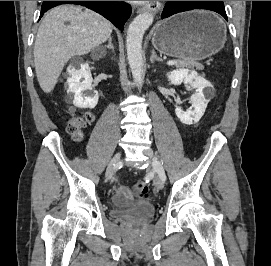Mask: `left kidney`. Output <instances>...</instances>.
Returning <instances> with one entry per match:
<instances>
[{
    "label": "left kidney",
    "mask_w": 271,
    "mask_h": 266,
    "mask_svg": "<svg viewBox=\"0 0 271 266\" xmlns=\"http://www.w3.org/2000/svg\"><path fill=\"white\" fill-rule=\"evenodd\" d=\"M167 76L173 85H180L183 82L195 89V93L190 99L191 107L186 111L177 107L175 113L184 124L191 125L197 123L204 115L207 104L210 101V96L206 97L203 90L210 92L213 90V86L203 77L198 76L197 72L189 71L188 69L174 70Z\"/></svg>",
    "instance_id": "left-kidney-1"
}]
</instances>
